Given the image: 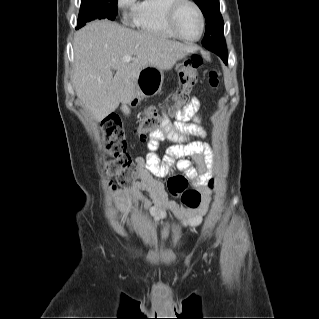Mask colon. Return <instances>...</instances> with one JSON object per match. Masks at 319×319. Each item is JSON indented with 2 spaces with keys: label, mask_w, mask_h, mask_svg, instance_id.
Returning <instances> with one entry per match:
<instances>
[{
  "label": "colon",
  "mask_w": 319,
  "mask_h": 319,
  "mask_svg": "<svg viewBox=\"0 0 319 319\" xmlns=\"http://www.w3.org/2000/svg\"><path fill=\"white\" fill-rule=\"evenodd\" d=\"M203 64L202 58L197 54H192L183 59L179 65L180 89L176 94L175 103L172 106L173 114L179 113V109L188 100V93L198 82V68ZM207 85L210 90L215 91L219 85L218 73L211 69L207 75ZM161 119L155 107H148L145 110V117L135 128L138 137L144 138L147 134L159 131ZM103 138L105 148L109 155L107 160V171L117 180L120 185L128 186L131 184L136 172V165L127 153L126 133L118 117L108 119L103 125ZM187 179L183 176L171 178L168 181L169 192L179 197L182 204L188 209H196L201 202V195L195 190L185 189ZM208 187L214 188V182L209 181Z\"/></svg>",
  "instance_id": "1"
}]
</instances>
